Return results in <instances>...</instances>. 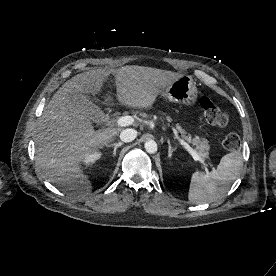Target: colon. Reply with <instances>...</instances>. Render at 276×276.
<instances>
[{
	"mask_svg": "<svg viewBox=\"0 0 276 276\" xmlns=\"http://www.w3.org/2000/svg\"><path fill=\"white\" fill-rule=\"evenodd\" d=\"M206 121L216 127H225L228 124V116L209 97L202 96L199 100ZM223 146L228 151H238L241 140L236 134H228L223 140Z\"/></svg>",
	"mask_w": 276,
	"mask_h": 276,
	"instance_id": "colon-1",
	"label": "colon"
}]
</instances>
